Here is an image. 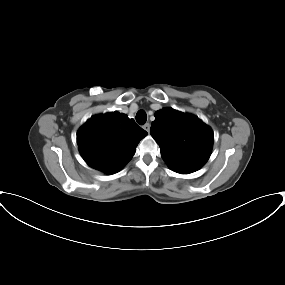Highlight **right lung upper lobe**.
Returning a JSON list of instances; mask_svg holds the SVG:
<instances>
[{
	"label": "right lung upper lobe",
	"mask_w": 285,
	"mask_h": 285,
	"mask_svg": "<svg viewBox=\"0 0 285 285\" xmlns=\"http://www.w3.org/2000/svg\"><path fill=\"white\" fill-rule=\"evenodd\" d=\"M147 132L133 119L118 112L91 117L77 133V144L85 162L92 168L113 174L133 157Z\"/></svg>",
	"instance_id": "cb5924a9"
}]
</instances>
